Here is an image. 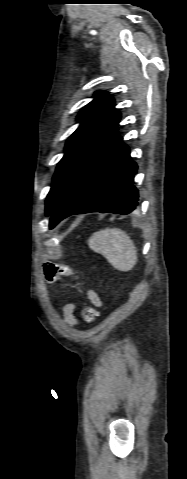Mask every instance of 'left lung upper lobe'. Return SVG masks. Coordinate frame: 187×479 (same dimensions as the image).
Wrapping results in <instances>:
<instances>
[{
    "label": "left lung upper lobe",
    "instance_id": "5c2ea615",
    "mask_svg": "<svg viewBox=\"0 0 187 479\" xmlns=\"http://www.w3.org/2000/svg\"><path fill=\"white\" fill-rule=\"evenodd\" d=\"M95 99L81 110L77 130L69 137L65 154L58 163L46 200V215L53 213L84 171L119 138L120 113L106 92L98 91Z\"/></svg>",
    "mask_w": 187,
    "mask_h": 479
}]
</instances>
